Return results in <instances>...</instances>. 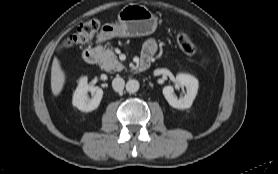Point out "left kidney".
<instances>
[{"label":"left kidney","mask_w":278,"mask_h":174,"mask_svg":"<svg viewBox=\"0 0 278 174\" xmlns=\"http://www.w3.org/2000/svg\"><path fill=\"white\" fill-rule=\"evenodd\" d=\"M198 86V80L194 76L190 74L179 73L176 76L175 87H186V94L183 97L177 98L174 95L173 86H165L162 92L165 99L172 107L177 109H187L191 107L197 95Z\"/></svg>","instance_id":"left-kidney-1"}]
</instances>
